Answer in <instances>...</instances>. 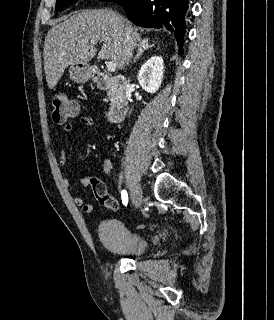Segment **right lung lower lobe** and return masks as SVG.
I'll use <instances>...</instances> for the list:
<instances>
[{
    "mask_svg": "<svg viewBox=\"0 0 274 320\" xmlns=\"http://www.w3.org/2000/svg\"><path fill=\"white\" fill-rule=\"evenodd\" d=\"M111 1L122 5L128 19L138 26L169 29L174 33L179 47H182L186 28L184 16L189 0Z\"/></svg>",
    "mask_w": 274,
    "mask_h": 320,
    "instance_id": "1",
    "label": "right lung lower lobe"
}]
</instances>
